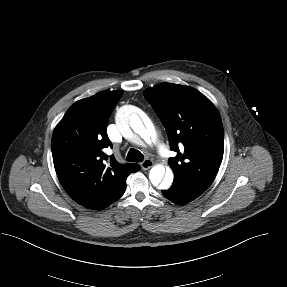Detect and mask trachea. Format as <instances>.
<instances>
[{
	"label": "trachea",
	"mask_w": 287,
	"mask_h": 287,
	"mask_svg": "<svg viewBox=\"0 0 287 287\" xmlns=\"http://www.w3.org/2000/svg\"><path fill=\"white\" fill-rule=\"evenodd\" d=\"M143 159H144L143 154L140 151L133 148L129 150L126 157V161L129 162H142Z\"/></svg>",
	"instance_id": "1"
}]
</instances>
